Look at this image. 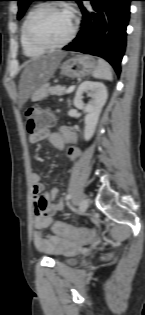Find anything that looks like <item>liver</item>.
<instances>
[{
  "label": "liver",
  "mask_w": 145,
  "mask_h": 315,
  "mask_svg": "<svg viewBox=\"0 0 145 315\" xmlns=\"http://www.w3.org/2000/svg\"><path fill=\"white\" fill-rule=\"evenodd\" d=\"M66 53L59 52L25 63L19 83V105L22 106L28 98L41 86L45 85L54 75Z\"/></svg>",
  "instance_id": "6515ba94"
}]
</instances>
